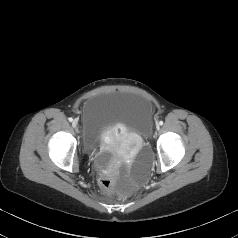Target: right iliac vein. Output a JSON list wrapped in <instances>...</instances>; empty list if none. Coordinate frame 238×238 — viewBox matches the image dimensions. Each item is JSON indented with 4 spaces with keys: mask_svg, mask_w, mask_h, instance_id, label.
Listing matches in <instances>:
<instances>
[{
    "mask_svg": "<svg viewBox=\"0 0 238 238\" xmlns=\"http://www.w3.org/2000/svg\"><path fill=\"white\" fill-rule=\"evenodd\" d=\"M77 125H78V121H77L76 119L73 120V122H72V126H73L74 128H76Z\"/></svg>",
    "mask_w": 238,
    "mask_h": 238,
    "instance_id": "obj_1",
    "label": "right iliac vein"
}]
</instances>
